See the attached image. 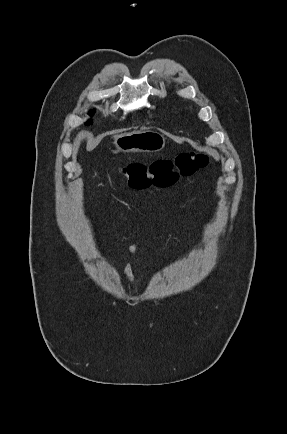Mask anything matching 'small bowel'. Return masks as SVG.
I'll list each match as a JSON object with an SVG mask.
<instances>
[{"mask_svg": "<svg viewBox=\"0 0 287 434\" xmlns=\"http://www.w3.org/2000/svg\"><path fill=\"white\" fill-rule=\"evenodd\" d=\"M138 247H139L138 242L131 243L128 247V253L129 254L134 253L138 249ZM134 271H135L134 265L131 263H127L123 270V280L125 286L129 289H131L134 285V280H135Z\"/></svg>", "mask_w": 287, "mask_h": 434, "instance_id": "c3829d8e", "label": "small bowel"}]
</instances>
